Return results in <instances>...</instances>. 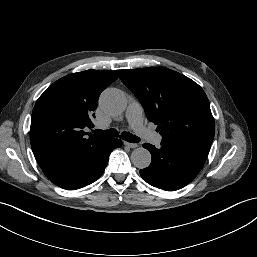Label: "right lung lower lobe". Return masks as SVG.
I'll return each instance as SVG.
<instances>
[{"label":"right lung lower lobe","instance_id":"right-lung-lower-lobe-1","mask_svg":"<svg viewBox=\"0 0 257 257\" xmlns=\"http://www.w3.org/2000/svg\"><path fill=\"white\" fill-rule=\"evenodd\" d=\"M121 145L119 139H107L76 157L42 170L57 186L67 190L79 189L102 175L111 151Z\"/></svg>","mask_w":257,"mask_h":257}]
</instances>
